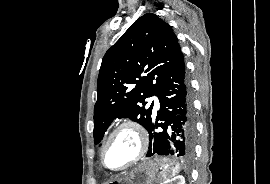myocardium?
I'll list each match as a JSON object with an SVG mask.
<instances>
[{
    "instance_id": "1",
    "label": "myocardium",
    "mask_w": 270,
    "mask_h": 184,
    "mask_svg": "<svg viewBox=\"0 0 270 184\" xmlns=\"http://www.w3.org/2000/svg\"><path fill=\"white\" fill-rule=\"evenodd\" d=\"M123 129H131L132 131L135 132V134L137 135V138H138V142H139V149H138L136 156L131 161H129L127 164H125L124 166L119 167V168H110L106 164V160H105L106 151H107L110 143L114 139V137ZM148 145H149V140H148V135H147L145 128L136 120H133V119L124 120L114 128V130L110 133L106 142L103 145V148L101 151L102 165L106 169L114 171V172L124 171V170L132 167L133 165L137 164L145 156V154L148 150Z\"/></svg>"
}]
</instances>
